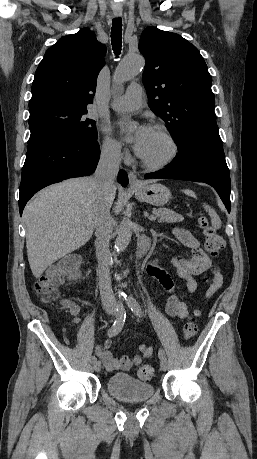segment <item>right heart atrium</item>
<instances>
[{
    "instance_id": "right-heart-atrium-1",
    "label": "right heart atrium",
    "mask_w": 257,
    "mask_h": 459,
    "mask_svg": "<svg viewBox=\"0 0 257 459\" xmlns=\"http://www.w3.org/2000/svg\"><path fill=\"white\" fill-rule=\"evenodd\" d=\"M101 154L110 162H120L128 155L122 144L114 139L106 130H103Z\"/></svg>"
}]
</instances>
